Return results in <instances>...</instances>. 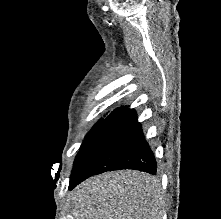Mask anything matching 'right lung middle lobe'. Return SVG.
<instances>
[{
  "mask_svg": "<svg viewBox=\"0 0 221 219\" xmlns=\"http://www.w3.org/2000/svg\"><path fill=\"white\" fill-rule=\"evenodd\" d=\"M103 119H101L97 124H95V126L92 128V130L89 132V134L85 137V140L83 142V144L86 142V140L90 137V135L93 133V131L100 125V123L102 122ZM82 144V145H83Z\"/></svg>",
  "mask_w": 221,
  "mask_h": 219,
  "instance_id": "dd1d6c3e",
  "label": "right lung middle lobe"
}]
</instances>
